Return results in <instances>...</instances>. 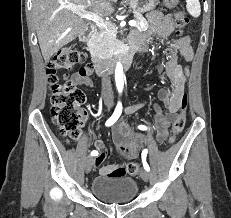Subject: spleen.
Here are the masks:
<instances>
[{
    "mask_svg": "<svg viewBox=\"0 0 231 218\" xmlns=\"http://www.w3.org/2000/svg\"><path fill=\"white\" fill-rule=\"evenodd\" d=\"M186 8L189 14L193 17H199L201 14V7L199 0H186Z\"/></svg>",
    "mask_w": 231,
    "mask_h": 218,
    "instance_id": "3e777b00",
    "label": "spleen"
}]
</instances>
